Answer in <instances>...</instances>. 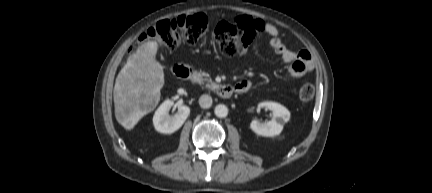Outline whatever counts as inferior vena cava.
I'll use <instances>...</instances> for the list:
<instances>
[{"label":"inferior vena cava","instance_id":"1","mask_svg":"<svg viewBox=\"0 0 432 193\" xmlns=\"http://www.w3.org/2000/svg\"><path fill=\"white\" fill-rule=\"evenodd\" d=\"M199 105L202 108H204V109L211 107V105H212V98H211V96H209V95H202L199 98Z\"/></svg>","mask_w":432,"mask_h":193}]
</instances>
